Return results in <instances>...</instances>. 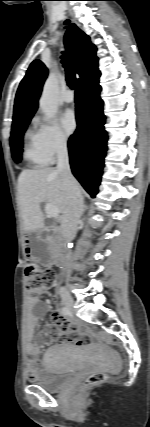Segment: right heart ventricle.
Masks as SVG:
<instances>
[{"mask_svg":"<svg viewBox=\"0 0 150 427\" xmlns=\"http://www.w3.org/2000/svg\"><path fill=\"white\" fill-rule=\"evenodd\" d=\"M23 157L33 167H40L47 163L39 144L38 132L28 129L23 136Z\"/></svg>","mask_w":150,"mask_h":427,"instance_id":"e07e8e85","label":"right heart ventricle"}]
</instances>
